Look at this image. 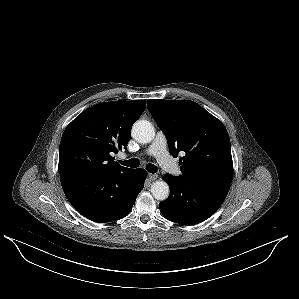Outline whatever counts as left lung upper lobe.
I'll list each match as a JSON object with an SVG mask.
<instances>
[{"label":"left lung upper lobe","mask_w":299,"mask_h":299,"mask_svg":"<svg viewBox=\"0 0 299 299\" xmlns=\"http://www.w3.org/2000/svg\"><path fill=\"white\" fill-rule=\"evenodd\" d=\"M147 107L173 157L180 151L185 154L179 159V178L232 182L230 139L220 120L190 100H148Z\"/></svg>","instance_id":"5c2ea615"}]
</instances>
